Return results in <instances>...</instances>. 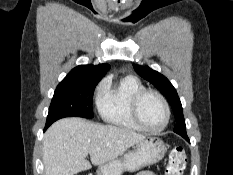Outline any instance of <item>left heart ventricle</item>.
I'll list each match as a JSON object with an SVG mask.
<instances>
[{
    "instance_id": "b2bd125f",
    "label": "left heart ventricle",
    "mask_w": 233,
    "mask_h": 175,
    "mask_svg": "<svg viewBox=\"0 0 233 175\" xmlns=\"http://www.w3.org/2000/svg\"><path fill=\"white\" fill-rule=\"evenodd\" d=\"M140 117L143 123L152 128H160L165 121V111L161 101L155 95H146L139 107Z\"/></svg>"
}]
</instances>
